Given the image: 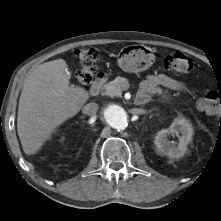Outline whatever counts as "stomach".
Here are the masks:
<instances>
[{
	"label": "stomach",
	"mask_w": 221,
	"mask_h": 221,
	"mask_svg": "<svg viewBox=\"0 0 221 221\" xmlns=\"http://www.w3.org/2000/svg\"><path fill=\"white\" fill-rule=\"evenodd\" d=\"M151 48L139 45H130L121 49L118 54V66L128 73H138L148 69L154 62Z\"/></svg>",
	"instance_id": "1"
}]
</instances>
